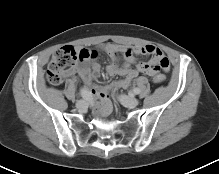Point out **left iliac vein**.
<instances>
[{"instance_id": "1", "label": "left iliac vein", "mask_w": 219, "mask_h": 174, "mask_svg": "<svg viewBox=\"0 0 219 174\" xmlns=\"http://www.w3.org/2000/svg\"><path fill=\"white\" fill-rule=\"evenodd\" d=\"M119 101L126 107H136L139 103L138 99L132 96L120 95L118 97Z\"/></svg>"}]
</instances>
